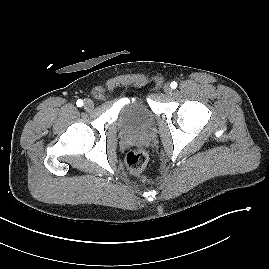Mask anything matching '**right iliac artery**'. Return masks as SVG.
Instances as JSON below:
<instances>
[{
	"label": "right iliac artery",
	"instance_id": "right-iliac-artery-1",
	"mask_svg": "<svg viewBox=\"0 0 269 269\" xmlns=\"http://www.w3.org/2000/svg\"><path fill=\"white\" fill-rule=\"evenodd\" d=\"M76 104L78 107H81V106H83V101L81 99H79V100H77Z\"/></svg>",
	"mask_w": 269,
	"mask_h": 269
}]
</instances>
